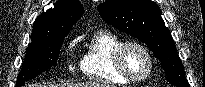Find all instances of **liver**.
Instances as JSON below:
<instances>
[{
    "mask_svg": "<svg viewBox=\"0 0 205 87\" xmlns=\"http://www.w3.org/2000/svg\"><path fill=\"white\" fill-rule=\"evenodd\" d=\"M28 87H31V85H28ZM38 87H45V86H38ZM48 87H110L106 84H101L99 82H88V83H62L57 85H49Z\"/></svg>",
    "mask_w": 205,
    "mask_h": 87,
    "instance_id": "6515ba94",
    "label": "liver"
}]
</instances>
